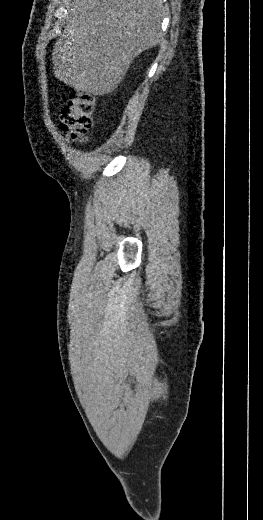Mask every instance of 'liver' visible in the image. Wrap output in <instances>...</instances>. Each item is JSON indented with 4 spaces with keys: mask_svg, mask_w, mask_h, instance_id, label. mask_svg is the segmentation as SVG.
<instances>
[{
    "mask_svg": "<svg viewBox=\"0 0 263 520\" xmlns=\"http://www.w3.org/2000/svg\"><path fill=\"white\" fill-rule=\"evenodd\" d=\"M67 28L57 40L54 75L76 91L105 95L132 61L162 38V0H66Z\"/></svg>",
    "mask_w": 263,
    "mask_h": 520,
    "instance_id": "1",
    "label": "liver"
}]
</instances>
